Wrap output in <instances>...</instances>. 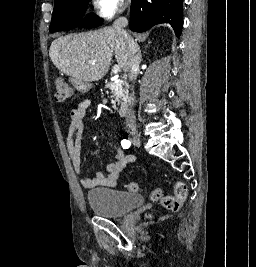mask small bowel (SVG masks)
<instances>
[{"label":"small bowel","mask_w":256,"mask_h":267,"mask_svg":"<svg viewBox=\"0 0 256 267\" xmlns=\"http://www.w3.org/2000/svg\"><path fill=\"white\" fill-rule=\"evenodd\" d=\"M89 101L83 100L70 112V124L66 135V147L69 159L75 172L81 177V184L85 189L96 187L115 188L120 173L126 168L127 164L136 160L135 156L125 154L122 150H117L113 161L107 166V175L97 171L91 176L84 174L80 154L83 149L81 135L84 130V120L87 115Z\"/></svg>","instance_id":"c3829d8e"}]
</instances>
